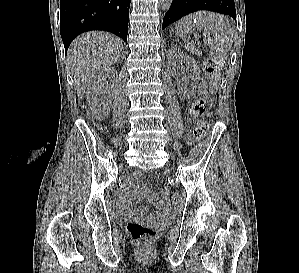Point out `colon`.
Segmentation results:
<instances>
[{
    "instance_id": "5ec220e1",
    "label": "colon",
    "mask_w": 299,
    "mask_h": 273,
    "mask_svg": "<svg viewBox=\"0 0 299 273\" xmlns=\"http://www.w3.org/2000/svg\"><path fill=\"white\" fill-rule=\"evenodd\" d=\"M204 76L210 85H215L218 79L219 62L215 59H208L204 63ZM212 86H208L206 83L202 87L201 95L197 97L188 107V115L192 119L201 117L207 107V102L210 99ZM210 131L209 123L205 121H198L194 128V135L196 138H204ZM171 202L174 208H178L182 203V196L179 193H175L171 197ZM127 232L129 236L136 242L148 243L152 241L156 236V231L153 227L141 223V222H130L127 225Z\"/></svg>"
}]
</instances>
